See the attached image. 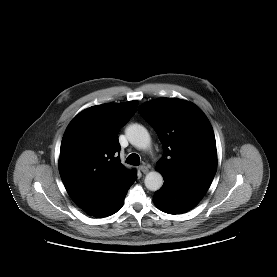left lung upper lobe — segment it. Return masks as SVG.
I'll return each mask as SVG.
<instances>
[{
  "label": "left lung upper lobe",
  "mask_w": 277,
  "mask_h": 277,
  "mask_svg": "<svg viewBox=\"0 0 277 277\" xmlns=\"http://www.w3.org/2000/svg\"><path fill=\"white\" fill-rule=\"evenodd\" d=\"M138 112L163 145L156 166L164 179L209 188L217 169V150L212 126L203 112L176 98L150 101Z\"/></svg>",
  "instance_id": "left-lung-upper-lobe-1"
}]
</instances>
